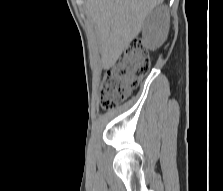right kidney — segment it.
I'll return each instance as SVG.
<instances>
[{"mask_svg":"<svg viewBox=\"0 0 223 191\" xmlns=\"http://www.w3.org/2000/svg\"><path fill=\"white\" fill-rule=\"evenodd\" d=\"M169 21L165 6L157 8L147 19L143 31L144 42L154 50L158 48L168 33Z\"/></svg>","mask_w":223,"mask_h":191,"instance_id":"right-kidney-1","label":"right kidney"}]
</instances>
